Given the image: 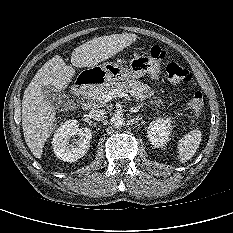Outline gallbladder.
<instances>
[{
  "label": "gallbladder",
  "instance_id": "obj_1",
  "mask_svg": "<svg viewBox=\"0 0 233 233\" xmlns=\"http://www.w3.org/2000/svg\"><path fill=\"white\" fill-rule=\"evenodd\" d=\"M42 93L56 110H67L71 106L69 97L62 90L47 86L42 88Z\"/></svg>",
  "mask_w": 233,
  "mask_h": 233
}]
</instances>
